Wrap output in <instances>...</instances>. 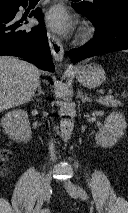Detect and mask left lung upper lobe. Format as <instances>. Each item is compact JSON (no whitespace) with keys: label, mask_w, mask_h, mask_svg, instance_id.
I'll use <instances>...</instances> for the list:
<instances>
[{"label":"left lung upper lobe","mask_w":128,"mask_h":213,"mask_svg":"<svg viewBox=\"0 0 128 213\" xmlns=\"http://www.w3.org/2000/svg\"><path fill=\"white\" fill-rule=\"evenodd\" d=\"M76 5L88 12L99 23L105 22L121 11H128V0H94L92 3L80 2Z\"/></svg>","instance_id":"1"}]
</instances>
